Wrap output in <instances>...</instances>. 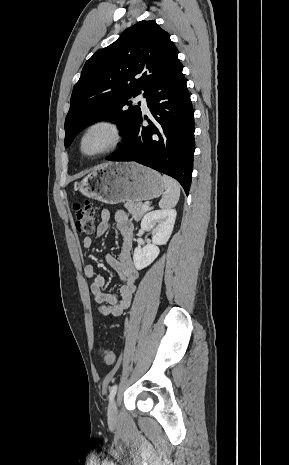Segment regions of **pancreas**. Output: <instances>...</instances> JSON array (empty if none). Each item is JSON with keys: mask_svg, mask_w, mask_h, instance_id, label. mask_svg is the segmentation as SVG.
I'll return each mask as SVG.
<instances>
[{"mask_svg": "<svg viewBox=\"0 0 289 465\" xmlns=\"http://www.w3.org/2000/svg\"><path fill=\"white\" fill-rule=\"evenodd\" d=\"M124 207L132 214L134 220L139 221L148 209H143L141 202H126Z\"/></svg>", "mask_w": 289, "mask_h": 465, "instance_id": "cf45deb5", "label": "pancreas"}]
</instances>
